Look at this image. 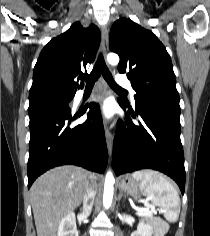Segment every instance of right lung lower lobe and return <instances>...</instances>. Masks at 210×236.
Returning a JSON list of instances; mask_svg holds the SVG:
<instances>
[{
    "mask_svg": "<svg viewBox=\"0 0 210 236\" xmlns=\"http://www.w3.org/2000/svg\"><path fill=\"white\" fill-rule=\"evenodd\" d=\"M87 107L90 111L86 122L71 127ZM87 107L74 116L69 106L29 114L28 188L39 175L60 165H78L98 173L105 171L108 151L99 105L90 103Z\"/></svg>",
    "mask_w": 210,
    "mask_h": 236,
    "instance_id": "1",
    "label": "right lung lower lobe"
}]
</instances>
